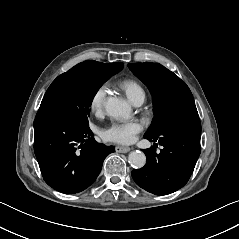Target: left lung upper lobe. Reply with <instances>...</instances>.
Wrapping results in <instances>:
<instances>
[{
  "label": "left lung upper lobe",
  "instance_id": "left-lung-upper-lobe-1",
  "mask_svg": "<svg viewBox=\"0 0 239 239\" xmlns=\"http://www.w3.org/2000/svg\"><path fill=\"white\" fill-rule=\"evenodd\" d=\"M128 67L147 85L153 97L155 116L144 136L158 137L177 120L199 118L190 89L173 72L158 63H130Z\"/></svg>",
  "mask_w": 239,
  "mask_h": 239
}]
</instances>
